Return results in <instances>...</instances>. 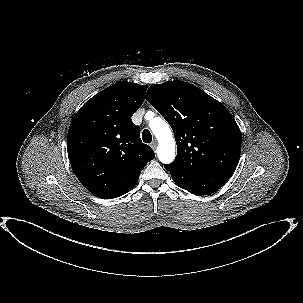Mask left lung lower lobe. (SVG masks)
Returning <instances> with one entry per match:
<instances>
[{
    "label": "left lung lower lobe",
    "mask_w": 303,
    "mask_h": 303,
    "mask_svg": "<svg viewBox=\"0 0 303 303\" xmlns=\"http://www.w3.org/2000/svg\"><path fill=\"white\" fill-rule=\"evenodd\" d=\"M174 182L182 189L194 195L211 194L222 187L231 177V172L209 171L203 173H188L165 165Z\"/></svg>",
    "instance_id": "0a47b994"
}]
</instances>
